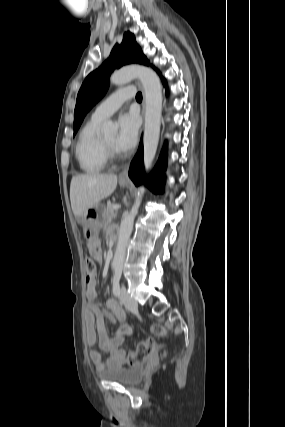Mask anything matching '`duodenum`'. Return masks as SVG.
<instances>
[{
  "label": "duodenum",
  "mask_w": 285,
  "mask_h": 427,
  "mask_svg": "<svg viewBox=\"0 0 285 427\" xmlns=\"http://www.w3.org/2000/svg\"><path fill=\"white\" fill-rule=\"evenodd\" d=\"M117 239H118L117 235L115 233H111V235H110V244L114 245L116 243Z\"/></svg>",
  "instance_id": "obj_1"
}]
</instances>
